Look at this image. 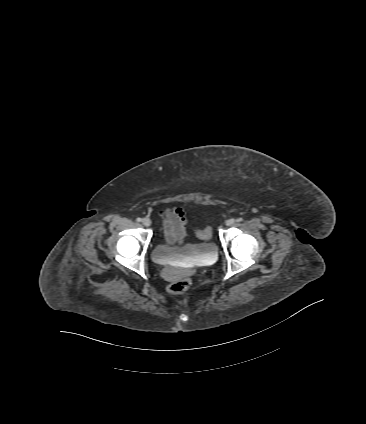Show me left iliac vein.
Listing matches in <instances>:
<instances>
[{
    "label": "left iliac vein",
    "instance_id": "obj_1",
    "mask_svg": "<svg viewBox=\"0 0 366 424\" xmlns=\"http://www.w3.org/2000/svg\"><path fill=\"white\" fill-rule=\"evenodd\" d=\"M235 224V220L234 219H228L227 221H226V225L227 226H232V225H234Z\"/></svg>",
    "mask_w": 366,
    "mask_h": 424
}]
</instances>
